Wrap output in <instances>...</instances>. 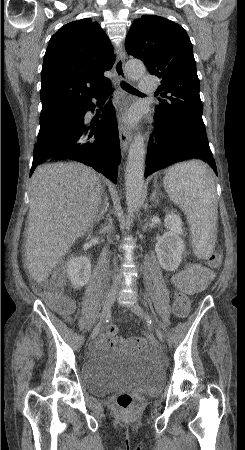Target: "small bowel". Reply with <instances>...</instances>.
Instances as JSON below:
<instances>
[{
  "mask_svg": "<svg viewBox=\"0 0 245 450\" xmlns=\"http://www.w3.org/2000/svg\"><path fill=\"white\" fill-rule=\"evenodd\" d=\"M214 272L198 263L189 264L184 269L175 273L172 283L188 294L207 288L214 279ZM108 337L103 335L99 340V347L108 345Z\"/></svg>",
  "mask_w": 245,
  "mask_h": 450,
  "instance_id": "c3829d8e",
  "label": "small bowel"
}]
</instances>
